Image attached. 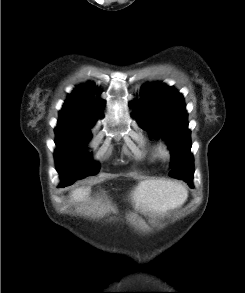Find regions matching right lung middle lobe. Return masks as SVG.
I'll use <instances>...</instances> for the list:
<instances>
[{
  "label": "right lung middle lobe",
  "mask_w": 245,
  "mask_h": 293,
  "mask_svg": "<svg viewBox=\"0 0 245 293\" xmlns=\"http://www.w3.org/2000/svg\"><path fill=\"white\" fill-rule=\"evenodd\" d=\"M55 133V162L61 177L60 187L98 172L99 164L92 162L90 154H86L87 143L92 138L90 128L58 125Z\"/></svg>",
  "instance_id": "obj_1"
}]
</instances>
